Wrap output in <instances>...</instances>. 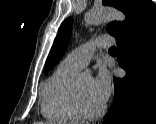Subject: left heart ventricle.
Listing matches in <instances>:
<instances>
[{"label": "left heart ventricle", "mask_w": 156, "mask_h": 124, "mask_svg": "<svg viewBox=\"0 0 156 124\" xmlns=\"http://www.w3.org/2000/svg\"><path fill=\"white\" fill-rule=\"evenodd\" d=\"M81 98L85 108L95 111L103 105L93 89L92 78L85 76L79 79Z\"/></svg>", "instance_id": "obj_1"}]
</instances>
